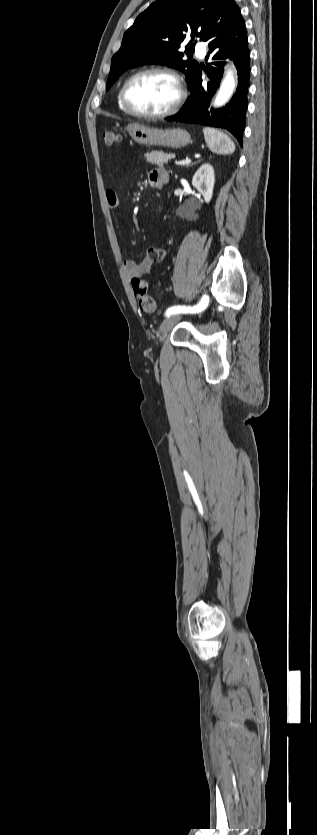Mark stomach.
<instances>
[{"instance_id": "stomach-1", "label": "stomach", "mask_w": 317, "mask_h": 835, "mask_svg": "<svg viewBox=\"0 0 317 835\" xmlns=\"http://www.w3.org/2000/svg\"><path fill=\"white\" fill-rule=\"evenodd\" d=\"M126 130L131 138L141 145L181 148L191 143V135L181 128L163 130L133 123L129 124Z\"/></svg>"}]
</instances>
